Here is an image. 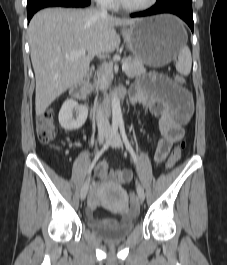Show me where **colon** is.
I'll return each mask as SVG.
<instances>
[{"label":"colon","mask_w":227,"mask_h":265,"mask_svg":"<svg viewBox=\"0 0 227 265\" xmlns=\"http://www.w3.org/2000/svg\"><path fill=\"white\" fill-rule=\"evenodd\" d=\"M174 81L178 85L185 84V77L181 74L174 75ZM36 130L39 140L42 143H49L54 140L56 135L55 123H54V112L51 109H48L41 113L36 120ZM185 143L180 142L171 152L167 163L166 169H172L175 164L179 161L181 157L182 149L184 148ZM131 203L136 204V197L134 194L129 196Z\"/></svg>","instance_id":"5ec220e1"}]
</instances>
